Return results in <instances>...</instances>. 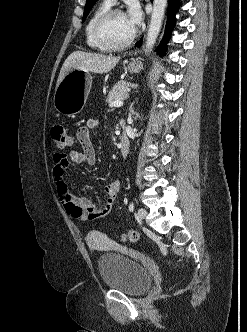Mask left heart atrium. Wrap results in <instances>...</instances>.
I'll return each mask as SVG.
<instances>
[{"label":"left heart atrium","mask_w":247,"mask_h":332,"mask_svg":"<svg viewBox=\"0 0 247 332\" xmlns=\"http://www.w3.org/2000/svg\"><path fill=\"white\" fill-rule=\"evenodd\" d=\"M126 18L129 24L135 29L141 23L142 19V13L139 7L132 5L126 14Z\"/></svg>","instance_id":"1"}]
</instances>
